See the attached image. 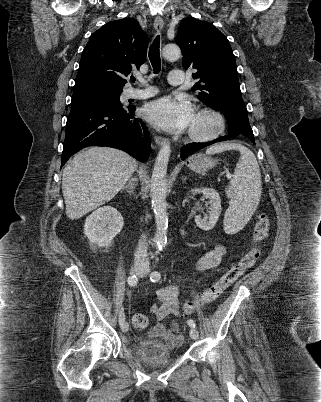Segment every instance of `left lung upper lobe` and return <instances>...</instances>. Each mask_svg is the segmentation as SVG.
Wrapping results in <instances>:
<instances>
[{"label":"left lung upper lobe","instance_id":"1","mask_svg":"<svg viewBox=\"0 0 321 402\" xmlns=\"http://www.w3.org/2000/svg\"><path fill=\"white\" fill-rule=\"evenodd\" d=\"M176 43L182 50V66L194 68L193 89L208 107L225 117L232 109L245 108L241 96L235 56L227 38L211 23L192 17L181 21Z\"/></svg>","mask_w":321,"mask_h":402}]
</instances>
